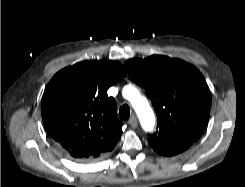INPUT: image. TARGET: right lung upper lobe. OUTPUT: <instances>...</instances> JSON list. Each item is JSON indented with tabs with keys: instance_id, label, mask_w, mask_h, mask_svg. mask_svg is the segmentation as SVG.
<instances>
[{
	"instance_id": "1",
	"label": "right lung upper lobe",
	"mask_w": 245,
	"mask_h": 187,
	"mask_svg": "<svg viewBox=\"0 0 245 187\" xmlns=\"http://www.w3.org/2000/svg\"><path fill=\"white\" fill-rule=\"evenodd\" d=\"M125 76L120 63L100 60L66 67L51 79L41 101L42 119L67 155L92 162L114 149L123 124L107 90Z\"/></svg>"
}]
</instances>
